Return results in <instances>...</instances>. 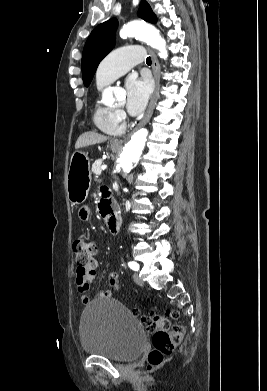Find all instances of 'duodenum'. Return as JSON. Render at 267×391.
<instances>
[{"label": "duodenum", "mask_w": 267, "mask_h": 391, "mask_svg": "<svg viewBox=\"0 0 267 391\" xmlns=\"http://www.w3.org/2000/svg\"><path fill=\"white\" fill-rule=\"evenodd\" d=\"M100 211L105 218L106 227L109 232L112 234L118 233L121 226V220L117 213L113 212L105 201L101 202Z\"/></svg>", "instance_id": "1"}]
</instances>
